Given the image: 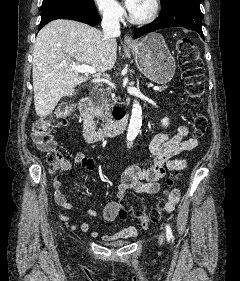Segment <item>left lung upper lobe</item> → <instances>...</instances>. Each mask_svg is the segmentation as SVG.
<instances>
[{"label":"left lung upper lobe","instance_id":"1","mask_svg":"<svg viewBox=\"0 0 240 281\" xmlns=\"http://www.w3.org/2000/svg\"><path fill=\"white\" fill-rule=\"evenodd\" d=\"M171 0H161V7L166 6Z\"/></svg>","mask_w":240,"mask_h":281}]
</instances>
